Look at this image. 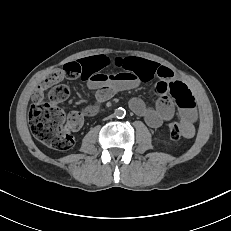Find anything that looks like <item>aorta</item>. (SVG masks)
I'll list each match as a JSON object with an SVG mask.
<instances>
[{
	"mask_svg": "<svg viewBox=\"0 0 231 231\" xmlns=\"http://www.w3.org/2000/svg\"><path fill=\"white\" fill-rule=\"evenodd\" d=\"M125 114H126V112H125V110L123 108H118L115 111V116L118 117V118L124 117Z\"/></svg>",
	"mask_w": 231,
	"mask_h": 231,
	"instance_id": "obj_1",
	"label": "aorta"
}]
</instances>
